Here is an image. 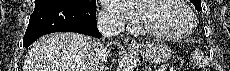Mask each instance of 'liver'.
<instances>
[{"instance_id":"obj_1","label":"liver","mask_w":230,"mask_h":71,"mask_svg":"<svg viewBox=\"0 0 230 71\" xmlns=\"http://www.w3.org/2000/svg\"><path fill=\"white\" fill-rule=\"evenodd\" d=\"M92 39L76 33H55L36 41L28 51L24 71H85Z\"/></svg>"}]
</instances>
